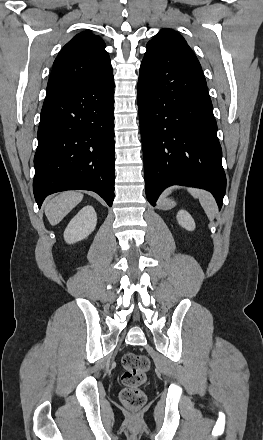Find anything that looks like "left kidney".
<instances>
[{
    "label": "left kidney",
    "mask_w": 263,
    "mask_h": 440,
    "mask_svg": "<svg viewBox=\"0 0 263 440\" xmlns=\"http://www.w3.org/2000/svg\"><path fill=\"white\" fill-rule=\"evenodd\" d=\"M177 221L181 227L185 228L188 231H193L195 229L194 219L185 210H180L177 213Z\"/></svg>",
    "instance_id": "5707ae66"
}]
</instances>
